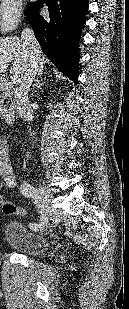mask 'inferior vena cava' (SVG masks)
<instances>
[{"instance_id": "602c4592", "label": "inferior vena cava", "mask_w": 129, "mask_h": 309, "mask_svg": "<svg viewBox=\"0 0 129 309\" xmlns=\"http://www.w3.org/2000/svg\"><path fill=\"white\" fill-rule=\"evenodd\" d=\"M21 39L29 54V67L23 74L21 84L15 92L16 107L21 118H23L24 121L30 122L33 116L29 101V91L33 82L37 80L41 73L42 64L40 57L42 52L32 29L28 27L23 29Z\"/></svg>"}]
</instances>
